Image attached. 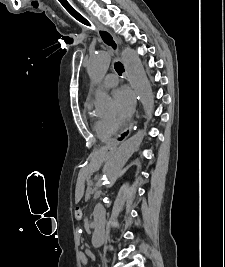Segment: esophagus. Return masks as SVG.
Instances as JSON below:
<instances>
[{
  "label": "esophagus",
  "mask_w": 225,
  "mask_h": 267,
  "mask_svg": "<svg viewBox=\"0 0 225 267\" xmlns=\"http://www.w3.org/2000/svg\"><path fill=\"white\" fill-rule=\"evenodd\" d=\"M90 19H92V17H89ZM96 25L98 26V28L100 29V36L102 33H107L108 34V37H105L103 42L105 43V45L107 47L110 48V50L116 54V56L119 58V47H118V43L115 39V37L111 34V32H109L107 29L101 27L99 25V23L95 22ZM102 38V36H101ZM135 99H136V96H135ZM135 120H133L130 125L125 129L123 130L114 140H112L111 142H109L106 146H105V149L108 153H113L115 151V149L117 148V146L123 142L131 133L134 125H135Z\"/></svg>",
  "instance_id": "obj_1"
}]
</instances>
